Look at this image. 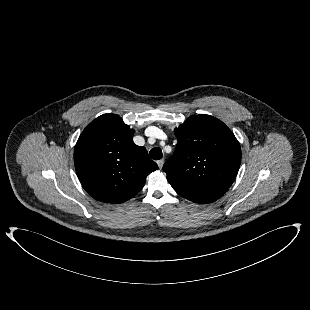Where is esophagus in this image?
<instances>
[{
    "instance_id": "34e87169",
    "label": "esophagus",
    "mask_w": 310,
    "mask_h": 310,
    "mask_svg": "<svg viewBox=\"0 0 310 310\" xmlns=\"http://www.w3.org/2000/svg\"><path fill=\"white\" fill-rule=\"evenodd\" d=\"M163 163H164V159H160V160L157 161V164H158L159 169L162 168Z\"/></svg>"
}]
</instances>
